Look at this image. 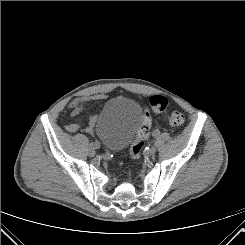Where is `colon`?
Returning <instances> with one entry per match:
<instances>
[{
    "label": "colon",
    "instance_id": "1",
    "mask_svg": "<svg viewBox=\"0 0 245 245\" xmlns=\"http://www.w3.org/2000/svg\"><path fill=\"white\" fill-rule=\"evenodd\" d=\"M167 98L162 95H154L150 98V105L152 109L159 114H164L167 108ZM167 122L172 126H180L185 121V116L180 111H174L169 115H166ZM151 127V116L149 112H145L143 121L137 132L136 139L132 143L130 149V155L133 160L140 157L141 152L144 148L145 141L149 138Z\"/></svg>",
    "mask_w": 245,
    "mask_h": 245
}]
</instances>
